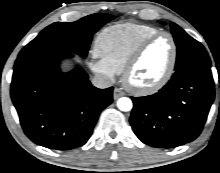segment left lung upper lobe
I'll list each match as a JSON object with an SVG mask.
<instances>
[{
	"instance_id": "obj_1",
	"label": "left lung upper lobe",
	"mask_w": 220,
	"mask_h": 173,
	"mask_svg": "<svg viewBox=\"0 0 220 173\" xmlns=\"http://www.w3.org/2000/svg\"><path fill=\"white\" fill-rule=\"evenodd\" d=\"M171 31L177 45L176 72L196 65L210 64V58L201 43L189 36L175 23H171Z\"/></svg>"
}]
</instances>
